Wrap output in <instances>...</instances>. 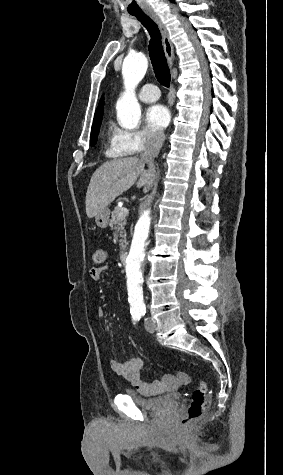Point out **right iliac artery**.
<instances>
[{
  "instance_id": "1",
  "label": "right iliac artery",
  "mask_w": 283,
  "mask_h": 475,
  "mask_svg": "<svg viewBox=\"0 0 283 475\" xmlns=\"http://www.w3.org/2000/svg\"><path fill=\"white\" fill-rule=\"evenodd\" d=\"M131 315L134 321H138L141 318V315L138 312H131Z\"/></svg>"
}]
</instances>
